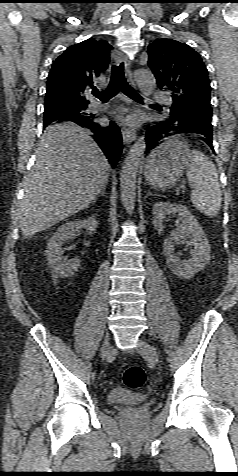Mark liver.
Returning <instances> with one entry per match:
<instances>
[{"mask_svg": "<svg viewBox=\"0 0 238 476\" xmlns=\"http://www.w3.org/2000/svg\"><path fill=\"white\" fill-rule=\"evenodd\" d=\"M110 171L88 130L70 122L47 127L24 180L22 236L31 237L88 207L106 186Z\"/></svg>", "mask_w": 238, "mask_h": 476, "instance_id": "6515ba94", "label": "liver"}]
</instances>
